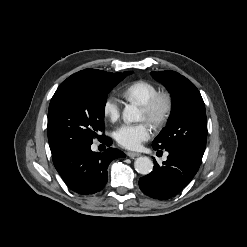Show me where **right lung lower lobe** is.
Wrapping results in <instances>:
<instances>
[{"label": "right lung lower lobe", "instance_id": "1", "mask_svg": "<svg viewBox=\"0 0 247 247\" xmlns=\"http://www.w3.org/2000/svg\"><path fill=\"white\" fill-rule=\"evenodd\" d=\"M102 142L110 146L112 141L104 136ZM53 156V163L67 186L80 194H93L103 188L108 179L109 163L125 154L108 148L98 154L91 150V144L73 146Z\"/></svg>", "mask_w": 247, "mask_h": 247}]
</instances>
